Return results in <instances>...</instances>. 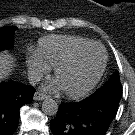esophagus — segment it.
<instances>
[{"label":"esophagus","mask_w":135,"mask_h":135,"mask_svg":"<svg viewBox=\"0 0 135 135\" xmlns=\"http://www.w3.org/2000/svg\"><path fill=\"white\" fill-rule=\"evenodd\" d=\"M47 98V95L42 92H35L34 94V100H44Z\"/></svg>","instance_id":"obj_1"}]
</instances>
